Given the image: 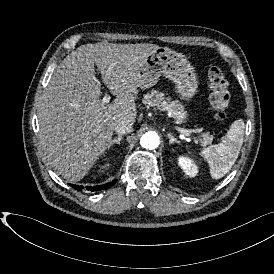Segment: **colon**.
Listing matches in <instances>:
<instances>
[{"mask_svg": "<svg viewBox=\"0 0 274 274\" xmlns=\"http://www.w3.org/2000/svg\"><path fill=\"white\" fill-rule=\"evenodd\" d=\"M207 79L211 89L209 103L214 111L215 118L218 121H223L226 118L231 100L226 76L218 65L210 63L207 68Z\"/></svg>", "mask_w": 274, "mask_h": 274, "instance_id": "1", "label": "colon"}]
</instances>
